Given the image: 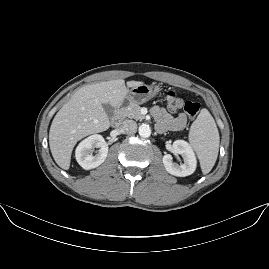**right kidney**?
<instances>
[{
  "instance_id": "right-kidney-1",
  "label": "right kidney",
  "mask_w": 269,
  "mask_h": 269,
  "mask_svg": "<svg viewBox=\"0 0 269 269\" xmlns=\"http://www.w3.org/2000/svg\"><path fill=\"white\" fill-rule=\"evenodd\" d=\"M94 147L100 148L96 155L90 153V150ZM107 153L108 148L104 145V139L99 134H93L84 138L75 149L76 160L84 169H91L103 163Z\"/></svg>"
}]
</instances>
